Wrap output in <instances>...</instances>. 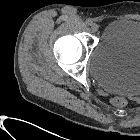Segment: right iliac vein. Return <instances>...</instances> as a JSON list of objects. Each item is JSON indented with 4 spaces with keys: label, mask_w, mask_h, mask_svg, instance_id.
<instances>
[{
    "label": "right iliac vein",
    "mask_w": 140,
    "mask_h": 140,
    "mask_svg": "<svg viewBox=\"0 0 140 140\" xmlns=\"http://www.w3.org/2000/svg\"><path fill=\"white\" fill-rule=\"evenodd\" d=\"M91 30H92L93 33H96L99 30V25L96 24V23H93L91 25Z\"/></svg>",
    "instance_id": "1"
}]
</instances>
